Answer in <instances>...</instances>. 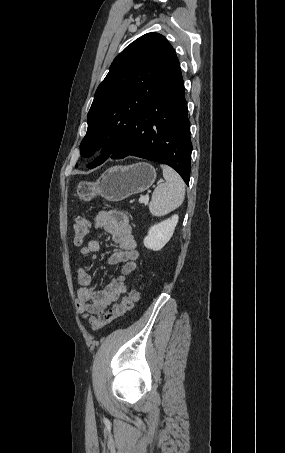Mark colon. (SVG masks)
Here are the masks:
<instances>
[{"mask_svg":"<svg viewBox=\"0 0 285 453\" xmlns=\"http://www.w3.org/2000/svg\"><path fill=\"white\" fill-rule=\"evenodd\" d=\"M74 229V244L81 246L88 234L89 223L83 216H77L73 225ZM139 299V291L137 287L132 288L129 293L122 298L119 303L114 304L110 309L102 311L97 317L90 319V324L93 330H99L113 321L125 316L130 311L135 302Z\"/></svg>","mask_w":285,"mask_h":453,"instance_id":"5ec220e1","label":"colon"}]
</instances>
